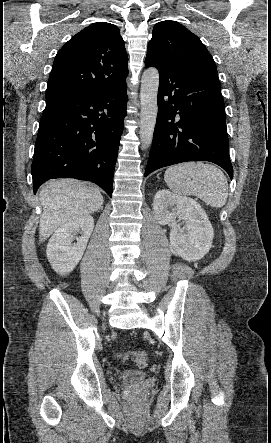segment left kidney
Masks as SVG:
<instances>
[{
  "label": "left kidney",
  "instance_id": "left-kidney-1",
  "mask_svg": "<svg viewBox=\"0 0 271 443\" xmlns=\"http://www.w3.org/2000/svg\"><path fill=\"white\" fill-rule=\"evenodd\" d=\"M153 210L160 225H172L170 243L178 255L186 261H197L206 255L212 245L214 229L196 200L159 190L155 194ZM177 218L185 223L183 229Z\"/></svg>",
  "mask_w": 271,
  "mask_h": 443
}]
</instances>
